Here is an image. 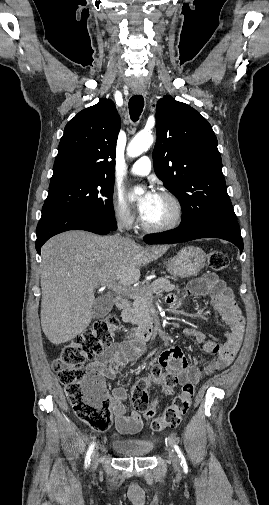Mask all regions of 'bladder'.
<instances>
[{
    "mask_svg": "<svg viewBox=\"0 0 269 505\" xmlns=\"http://www.w3.org/2000/svg\"><path fill=\"white\" fill-rule=\"evenodd\" d=\"M114 451L124 457H147L154 449V444L148 441H115Z\"/></svg>",
    "mask_w": 269,
    "mask_h": 505,
    "instance_id": "bladder-1",
    "label": "bladder"
}]
</instances>
